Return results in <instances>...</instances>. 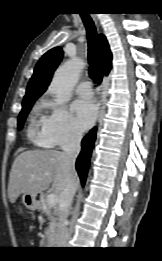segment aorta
Returning <instances> with one entry per match:
<instances>
[{
    "instance_id": "aorta-1",
    "label": "aorta",
    "mask_w": 162,
    "mask_h": 261,
    "mask_svg": "<svg viewBox=\"0 0 162 261\" xmlns=\"http://www.w3.org/2000/svg\"><path fill=\"white\" fill-rule=\"evenodd\" d=\"M84 65L82 60L74 59L66 62L56 71L49 90L57 104H64L71 99L72 89Z\"/></svg>"
}]
</instances>
